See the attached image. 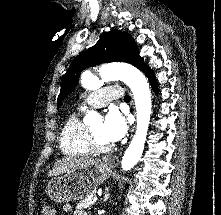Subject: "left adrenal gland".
Segmentation results:
<instances>
[{
	"label": "left adrenal gland",
	"mask_w": 221,
	"mask_h": 215,
	"mask_svg": "<svg viewBox=\"0 0 221 215\" xmlns=\"http://www.w3.org/2000/svg\"><path fill=\"white\" fill-rule=\"evenodd\" d=\"M110 194H109V188H106L105 194H104V198L102 200V202H105L108 200Z\"/></svg>",
	"instance_id": "1"
}]
</instances>
